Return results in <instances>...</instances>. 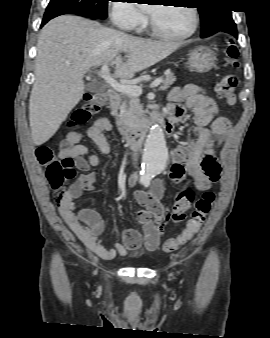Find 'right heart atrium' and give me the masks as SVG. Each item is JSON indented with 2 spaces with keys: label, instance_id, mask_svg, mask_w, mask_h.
Wrapping results in <instances>:
<instances>
[{
  "label": "right heart atrium",
  "instance_id": "obj_1",
  "mask_svg": "<svg viewBox=\"0 0 270 338\" xmlns=\"http://www.w3.org/2000/svg\"><path fill=\"white\" fill-rule=\"evenodd\" d=\"M110 14L113 24L124 30L137 29L146 23V15L129 1L113 4Z\"/></svg>",
  "mask_w": 270,
  "mask_h": 338
}]
</instances>
